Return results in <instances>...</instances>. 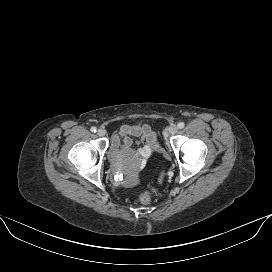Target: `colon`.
<instances>
[{
  "label": "colon",
  "instance_id": "obj_1",
  "mask_svg": "<svg viewBox=\"0 0 272 272\" xmlns=\"http://www.w3.org/2000/svg\"><path fill=\"white\" fill-rule=\"evenodd\" d=\"M155 194H156V190L152 188L150 190L143 192L140 195L139 199H140L141 203L149 204Z\"/></svg>",
  "mask_w": 272,
  "mask_h": 272
}]
</instances>
